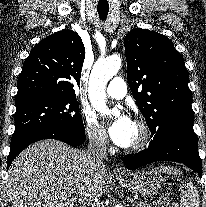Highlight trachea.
Returning <instances> with one entry per match:
<instances>
[{"instance_id":"obj_1","label":"trachea","mask_w":206,"mask_h":207,"mask_svg":"<svg viewBox=\"0 0 206 207\" xmlns=\"http://www.w3.org/2000/svg\"><path fill=\"white\" fill-rule=\"evenodd\" d=\"M98 13H99V17L102 20L106 19L107 15H108V11H100V10H98Z\"/></svg>"}]
</instances>
